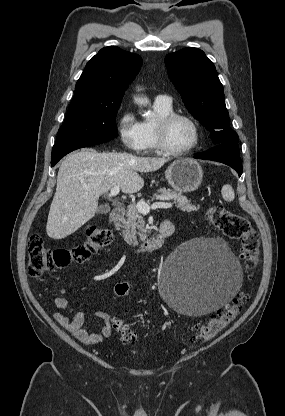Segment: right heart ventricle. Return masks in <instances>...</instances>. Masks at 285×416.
Listing matches in <instances>:
<instances>
[{
	"mask_svg": "<svg viewBox=\"0 0 285 416\" xmlns=\"http://www.w3.org/2000/svg\"><path fill=\"white\" fill-rule=\"evenodd\" d=\"M154 108L156 111V118L154 120L144 119L141 121L145 149L148 151L158 150L155 138V124L157 119L172 112V106L161 101H155Z\"/></svg>",
	"mask_w": 285,
	"mask_h": 416,
	"instance_id": "e07e8e85",
	"label": "right heart ventricle"
}]
</instances>
